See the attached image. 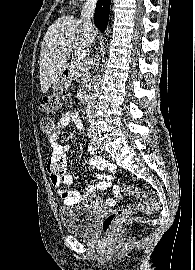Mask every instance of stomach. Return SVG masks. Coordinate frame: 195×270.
Segmentation results:
<instances>
[{
    "label": "stomach",
    "instance_id": "stomach-1",
    "mask_svg": "<svg viewBox=\"0 0 195 270\" xmlns=\"http://www.w3.org/2000/svg\"><path fill=\"white\" fill-rule=\"evenodd\" d=\"M69 83H70V79L61 74L58 77V79L54 82L53 91L54 92L59 91L63 89L64 87H66Z\"/></svg>",
    "mask_w": 195,
    "mask_h": 270
}]
</instances>
